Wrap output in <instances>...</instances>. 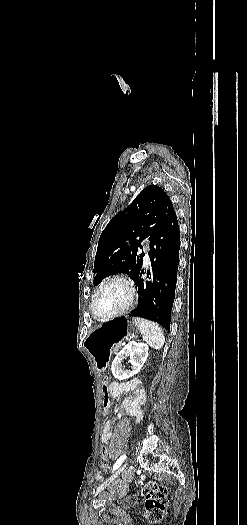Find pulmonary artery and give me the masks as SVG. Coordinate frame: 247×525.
I'll return each instance as SVG.
<instances>
[{"label": "pulmonary artery", "instance_id": "pulmonary-artery-1", "mask_svg": "<svg viewBox=\"0 0 247 525\" xmlns=\"http://www.w3.org/2000/svg\"><path fill=\"white\" fill-rule=\"evenodd\" d=\"M143 248L140 250L139 249V252L141 251L142 254H141V257H142V263L144 266L146 267H149L152 265L153 263V260L152 258L150 257V254H149V240L148 239H144L143 240Z\"/></svg>", "mask_w": 247, "mask_h": 525}]
</instances>
